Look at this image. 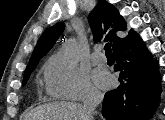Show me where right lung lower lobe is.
<instances>
[{
	"mask_svg": "<svg viewBox=\"0 0 165 120\" xmlns=\"http://www.w3.org/2000/svg\"><path fill=\"white\" fill-rule=\"evenodd\" d=\"M114 55L121 84L105 94L103 116L107 120H148L162 92L158 62L138 35L114 50Z\"/></svg>",
	"mask_w": 165,
	"mask_h": 120,
	"instance_id": "98d812e1",
	"label": "right lung lower lobe"
}]
</instances>
